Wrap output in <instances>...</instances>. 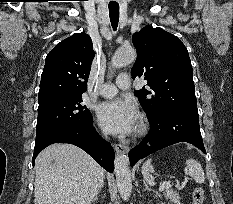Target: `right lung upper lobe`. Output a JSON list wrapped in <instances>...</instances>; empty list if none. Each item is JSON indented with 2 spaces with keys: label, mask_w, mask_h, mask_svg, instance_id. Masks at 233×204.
I'll return each instance as SVG.
<instances>
[{
  "label": "right lung upper lobe",
  "mask_w": 233,
  "mask_h": 204,
  "mask_svg": "<svg viewBox=\"0 0 233 204\" xmlns=\"http://www.w3.org/2000/svg\"><path fill=\"white\" fill-rule=\"evenodd\" d=\"M93 58L92 40L86 33H76L57 44L46 56L38 101L85 92Z\"/></svg>",
  "instance_id": "1"
}]
</instances>
